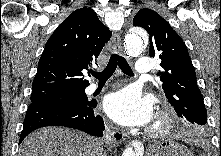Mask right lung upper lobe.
Segmentation results:
<instances>
[{
  "label": "right lung upper lobe",
  "instance_id": "right-lung-upper-lobe-1",
  "mask_svg": "<svg viewBox=\"0 0 221 156\" xmlns=\"http://www.w3.org/2000/svg\"><path fill=\"white\" fill-rule=\"evenodd\" d=\"M111 35L91 8L71 13L45 45L33 80L31 100L85 90L90 83L83 73L89 72Z\"/></svg>",
  "mask_w": 221,
  "mask_h": 156
}]
</instances>
